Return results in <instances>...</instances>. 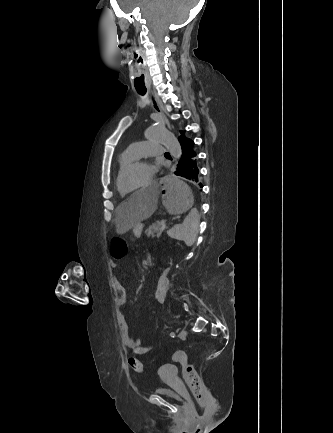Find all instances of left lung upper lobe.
<instances>
[{"instance_id":"obj_1","label":"left lung upper lobe","mask_w":333,"mask_h":433,"mask_svg":"<svg viewBox=\"0 0 333 433\" xmlns=\"http://www.w3.org/2000/svg\"><path fill=\"white\" fill-rule=\"evenodd\" d=\"M181 136L179 137V138H185V139H189V138H187V137H185L184 135H183V132L181 131Z\"/></svg>"}]
</instances>
